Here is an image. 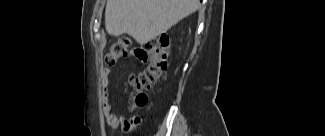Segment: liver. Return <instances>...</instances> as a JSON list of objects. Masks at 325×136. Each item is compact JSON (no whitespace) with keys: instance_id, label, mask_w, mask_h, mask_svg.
<instances>
[{"instance_id":"liver-1","label":"liver","mask_w":325,"mask_h":136,"mask_svg":"<svg viewBox=\"0 0 325 136\" xmlns=\"http://www.w3.org/2000/svg\"><path fill=\"white\" fill-rule=\"evenodd\" d=\"M199 0H107L105 27L109 35L128 34L144 45L195 12Z\"/></svg>"}]
</instances>
